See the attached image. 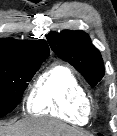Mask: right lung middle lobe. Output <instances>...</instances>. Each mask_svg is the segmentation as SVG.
Returning <instances> with one entry per match:
<instances>
[{
	"instance_id": "right-lung-middle-lobe-1",
	"label": "right lung middle lobe",
	"mask_w": 117,
	"mask_h": 136,
	"mask_svg": "<svg viewBox=\"0 0 117 136\" xmlns=\"http://www.w3.org/2000/svg\"><path fill=\"white\" fill-rule=\"evenodd\" d=\"M45 59L27 63L0 61V114L11 112L21 101L28 82Z\"/></svg>"
}]
</instances>
